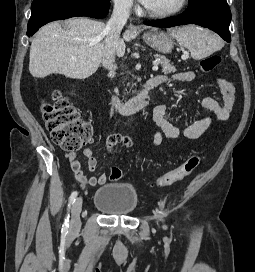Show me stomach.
<instances>
[{"label":"stomach","mask_w":255,"mask_h":272,"mask_svg":"<svg viewBox=\"0 0 255 272\" xmlns=\"http://www.w3.org/2000/svg\"><path fill=\"white\" fill-rule=\"evenodd\" d=\"M143 40L151 48L163 54L171 53L174 47V38L169 33L155 29L144 33Z\"/></svg>","instance_id":"0dacf381"}]
</instances>
